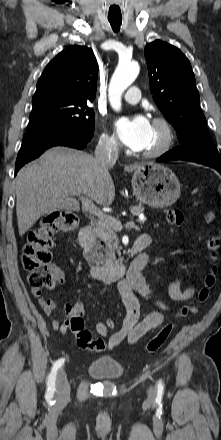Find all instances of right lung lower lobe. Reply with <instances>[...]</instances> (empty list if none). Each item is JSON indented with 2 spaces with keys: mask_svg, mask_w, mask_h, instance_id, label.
Here are the masks:
<instances>
[{
  "mask_svg": "<svg viewBox=\"0 0 221 440\" xmlns=\"http://www.w3.org/2000/svg\"><path fill=\"white\" fill-rule=\"evenodd\" d=\"M91 139L92 137L86 138L80 135L54 130H40L26 133L16 159L15 175L22 166L39 157L50 147L62 145L84 149Z\"/></svg>",
  "mask_w": 221,
  "mask_h": 440,
  "instance_id": "obj_1",
  "label": "right lung lower lobe"
}]
</instances>
